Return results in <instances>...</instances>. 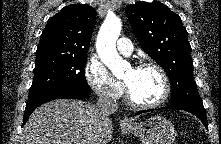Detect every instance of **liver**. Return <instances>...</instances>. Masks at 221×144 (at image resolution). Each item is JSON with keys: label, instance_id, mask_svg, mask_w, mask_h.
<instances>
[{"label": "liver", "instance_id": "liver-1", "mask_svg": "<svg viewBox=\"0 0 221 144\" xmlns=\"http://www.w3.org/2000/svg\"><path fill=\"white\" fill-rule=\"evenodd\" d=\"M113 123L97 106L59 99L38 107L21 133V144H108Z\"/></svg>", "mask_w": 221, "mask_h": 144}]
</instances>
